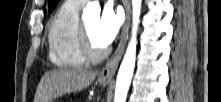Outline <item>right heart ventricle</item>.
Here are the masks:
<instances>
[{
    "instance_id": "obj_1",
    "label": "right heart ventricle",
    "mask_w": 221,
    "mask_h": 102,
    "mask_svg": "<svg viewBox=\"0 0 221 102\" xmlns=\"http://www.w3.org/2000/svg\"><path fill=\"white\" fill-rule=\"evenodd\" d=\"M82 4L66 0L55 13L48 28L50 60L58 67L74 68L82 66L86 59L79 42Z\"/></svg>"
}]
</instances>
